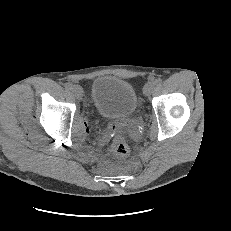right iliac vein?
<instances>
[{"label": "right iliac vein", "mask_w": 231, "mask_h": 231, "mask_svg": "<svg viewBox=\"0 0 231 231\" xmlns=\"http://www.w3.org/2000/svg\"><path fill=\"white\" fill-rule=\"evenodd\" d=\"M71 92L76 96L79 97L82 94V88L79 85H73L71 88Z\"/></svg>", "instance_id": "63e3f726"}]
</instances>
